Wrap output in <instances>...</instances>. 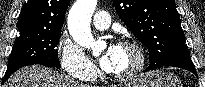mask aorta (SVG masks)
Here are the masks:
<instances>
[{
	"label": "aorta",
	"instance_id": "1",
	"mask_svg": "<svg viewBox=\"0 0 205 87\" xmlns=\"http://www.w3.org/2000/svg\"><path fill=\"white\" fill-rule=\"evenodd\" d=\"M96 6L97 0H76L68 14V29L73 40L80 46L92 50L98 48L90 28Z\"/></svg>",
	"mask_w": 205,
	"mask_h": 87
}]
</instances>
